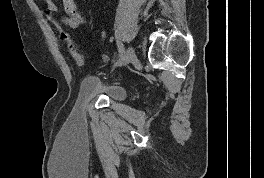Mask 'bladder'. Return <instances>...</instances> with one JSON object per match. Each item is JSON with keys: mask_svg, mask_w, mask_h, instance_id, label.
<instances>
[{"mask_svg": "<svg viewBox=\"0 0 264 178\" xmlns=\"http://www.w3.org/2000/svg\"><path fill=\"white\" fill-rule=\"evenodd\" d=\"M80 96L82 98L103 96L114 101H123L126 98V90L120 84L92 75L82 80Z\"/></svg>", "mask_w": 264, "mask_h": 178, "instance_id": "bladder-1", "label": "bladder"}]
</instances>
